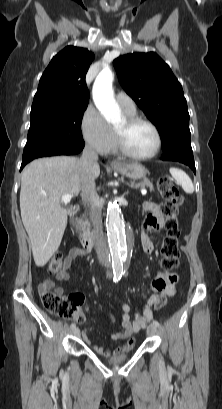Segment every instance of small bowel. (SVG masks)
Returning <instances> with one entry per match:
<instances>
[{
	"instance_id": "obj_1",
	"label": "small bowel",
	"mask_w": 222,
	"mask_h": 409,
	"mask_svg": "<svg viewBox=\"0 0 222 409\" xmlns=\"http://www.w3.org/2000/svg\"><path fill=\"white\" fill-rule=\"evenodd\" d=\"M143 210L147 213L143 223L141 231V244L144 251L151 254L154 250V245L151 239V235L154 232H159L163 228L164 218L161 214L160 207L156 202L146 201L143 204ZM86 253L80 247H73L70 249L68 255L65 258V268L45 279L39 286L38 291L41 293L50 289L63 293V287L58 286L59 281H68L70 275L67 270L71 267L72 263L76 259H83ZM157 277L152 283L153 293L146 300L142 310L135 315L132 320L130 316L131 308L128 304L122 303L120 305L121 310V325L120 329L111 333L113 340L127 339V341L121 346L115 349H106L102 347H94V350L103 356H109L111 354L131 350L135 345V338L133 337L139 330L145 327V325L152 318V307L155 303H158L163 297L174 296L177 292L176 283L178 276L176 273L157 272ZM85 312H88V307H83ZM85 340H88L87 336H83Z\"/></svg>"
}]
</instances>
